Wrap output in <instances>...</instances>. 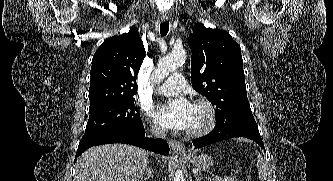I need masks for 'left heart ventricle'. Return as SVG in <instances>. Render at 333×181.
Segmentation results:
<instances>
[{
	"label": "left heart ventricle",
	"mask_w": 333,
	"mask_h": 181,
	"mask_svg": "<svg viewBox=\"0 0 333 181\" xmlns=\"http://www.w3.org/2000/svg\"><path fill=\"white\" fill-rule=\"evenodd\" d=\"M204 121V112L200 107L193 106V119L189 129L199 127Z\"/></svg>",
	"instance_id": "1"
}]
</instances>
